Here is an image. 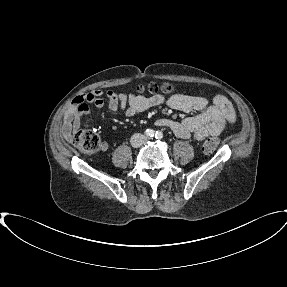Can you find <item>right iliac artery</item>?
Here are the masks:
<instances>
[{"label": "right iliac artery", "mask_w": 287, "mask_h": 287, "mask_svg": "<svg viewBox=\"0 0 287 287\" xmlns=\"http://www.w3.org/2000/svg\"><path fill=\"white\" fill-rule=\"evenodd\" d=\"M144 134H145V136L152 138L155 135V131L152 129H147Z\"/></svg>", "instance_id": "obj_1"}]
</instances>
